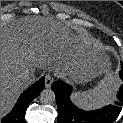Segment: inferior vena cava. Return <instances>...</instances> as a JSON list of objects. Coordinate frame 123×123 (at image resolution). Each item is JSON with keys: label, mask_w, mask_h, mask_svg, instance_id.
<instances>
[{"label": "inferior vena cava", "mask_w": 123, "mask_h": 123, "mask_svg": "<svg viewBox=\"0 0 123 123\" xmlns=\"http://www.w3.org/2000/svg\"><path fill=\"white\" fill-rule=\"evenodd\" d=\"M22 78L26 81H30L33 78V76L28 71H25L22 74Z\"/></svg>", "instance_id": "602c4592"}]
</instances>
